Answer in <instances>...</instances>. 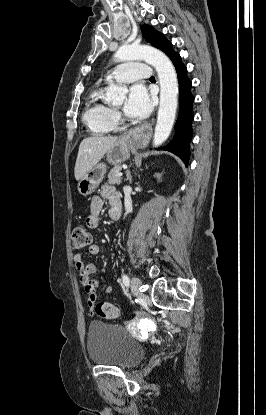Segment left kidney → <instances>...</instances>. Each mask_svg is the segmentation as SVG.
<instances>
[{
  "label": "left kidney",
  "mask_w": 266,
  "mask_h": 415,
  "mask_svg": "<svg viewBox=\"0 0 266 415\" xmlns=\"http://www.w3.org/2000/svg\"><path fill=\"white\" fill-rule=\"evenodd\" d=\"M157 177H158V178H160V175H159V174H157Z\"/></svg>",
  "instance_id": "obj_1"
}]
</instances>
